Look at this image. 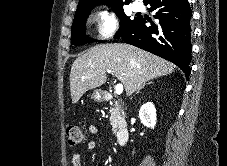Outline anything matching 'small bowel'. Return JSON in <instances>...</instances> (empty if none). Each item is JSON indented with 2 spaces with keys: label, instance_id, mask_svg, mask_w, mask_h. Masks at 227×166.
Instances as JSON below:
<instances>
[{
  "label": "small bowel",
  "instance_id": "obj_1",
  "mask_svg": "<svg viewBox=\"0 0 227 166\" xmlns=\"http://www.w3.org/2000/svg\"><path fill=\"white\" fill-rule=\"evenodd\" d=\"M88 130H89V133L92 134V135H95L98 132L97 127L95 125H90ZM95 146H96V143L93 140H91L87 143L88 149H94ZM72 165L73 166H82L81 157L78 153H75L73 155Z\"/></svg>",
  "mask_w": 227,
  "mask_h": 166
}]
</instances>
